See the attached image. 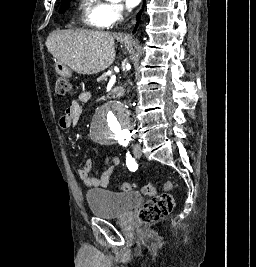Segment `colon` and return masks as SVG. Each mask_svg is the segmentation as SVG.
<instances>
[{"label": "colon", "instance_id": "obj_1", "mask_svg": "<svg viewBox=\"0 0 256 267\" xmlns=\"http://www.w3.org/2000/svg\"><path fill=\"white\" fill-rule=\"evenodd\" d=\"M71 90L69 77H56L55 79V91L59 96H64ZM172 188L171 182L164 184L165 190ZM119 190L123 192H130L135 190V184L130 182H123L119 185ZM143 193L151 197L138 212V219L141 220L142 224H149L150 222H156L169 214L174 209L175 203L169 196V193L156 194L155 188L152 184H145L143 186Z\"/></svg>", "mask_w": 256, "mask_h": 267}]
</instances>
